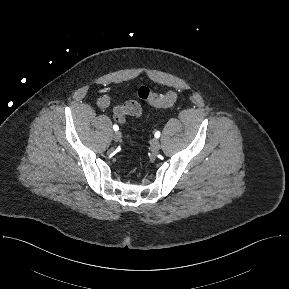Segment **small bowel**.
<instances>
[{
	"instance_id": "1",
	"label": "small bowel",
	"mask_w": 289,
	"mask_h": 289,
	"mask_svg": "<svg viewBox=\"0 0 289 289\" xmlns=\"http://www.w3.org/2000/svg\"><path fill=\"white\" fill-rule=\"evenodd\" d=\"M109 88L103 90V92L98 96L96 103L97 106L101 109H106L112 106V116L113 119L125 125L127 120V116L138 118L142 114L141 105L135 100H128L124 103L114 104L112 103V99L108 94Z\"/></svg>"
}]
</instances>
